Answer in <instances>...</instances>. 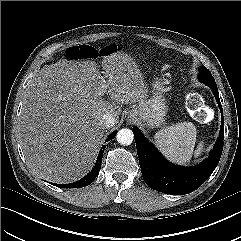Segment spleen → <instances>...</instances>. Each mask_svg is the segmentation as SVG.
Here are the masks:
<instances>
[{"label":"spleen","instance_id":"1","mask_svg":"<svg viewBox=\"0 0 241 241\" xmlns=\"http://www.w3.org/2000/svg\"><path fill=\"white\" fill-rule=\"evenodd\" d=\"M196 134V127L191 122L176 123L155 134V145L169 161L187 165L193 154L198 157L203 151V142L194 150Z\"/></svg>","mask_w":241,"mask_h":241}]
</instances>
